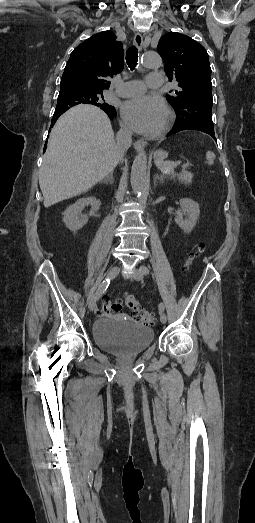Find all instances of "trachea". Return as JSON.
Listing matches in <instances>:
<instances>
[{"instance_id": "3493384b", "label": "trachea", "mask_w": 255, "mask_h": 523, "mask_svg": "<svg viewBox=\"0 0 255 523\" xmlns=\"http://www.w3.org/2000/svg\"><path fill=\"white\" fill-rule=\"evenodd\" d=\"M138 61V49L132 45L128 50L126 51V62L131 70H133Z\"/></svg>"}]
</instances>
